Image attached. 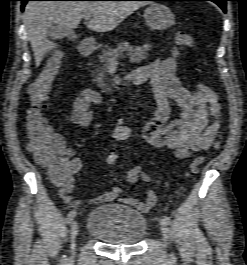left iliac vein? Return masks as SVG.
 <instances>
[{"label":"left iliac vein","mask_w":247,"mask_h":265,"mask_svg":"<svg viewBox=\"0 0 247 265\" xmlns=\"http://www.w3.org/2000/svg\"><path fill=\"white\" fill-rule=\"evenodd\" d=\"M160 228H161V232H162L164 240L167 241L169 238V228L167 226V223L164 222L163 220H161L160 221Z\"/></svg>","instance_id":"4c4485c4"}]
</instances>
